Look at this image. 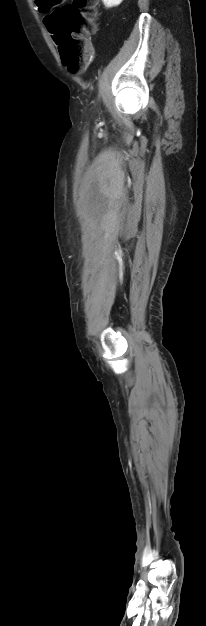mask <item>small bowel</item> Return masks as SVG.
Segmentation results:
<instances>
[{"mask_svg": "<svg viewBox=\"0 0 206 626\" xmlns=\"http://www.w3.org/2000/svg\"><path fill=\"white\" fill-rule=\"evenodd\" d=\"M37 2H38V5L41 7V0H38ZM47 18H48V17H46V18H45V25H46V27H47V29H48V22H47Z\"/></svg>", "mask_w": 206, "mask_h": 626, "instance_id": "c3829d8e", "label": "small bowel"}]
</instances>
